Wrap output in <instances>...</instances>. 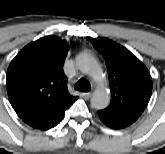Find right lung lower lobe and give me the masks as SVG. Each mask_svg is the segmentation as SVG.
Instances as JSON below:
<instances>
[{"label": "right lung lower lobe", "mask_w": 165, "mask_h": 154, "mask_svg": "<svg viewBox=\"0 0 165 154\" xmlns=\"http://www.w3.org/2000/svg\"><path fill=\"white\" fill-rule=\"evenodd\" d=\"M76 99L77 97L73 96L65 97L50 107L23 118V121L30 126L41 130L53 128L61 122L65 110L69 108Z\"/></svg>", "instance_id": "right-lung-lower-lobe-1"}]
</instances>
